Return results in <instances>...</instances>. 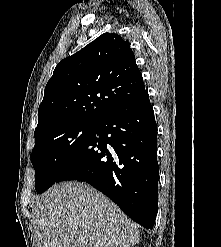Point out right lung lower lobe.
Listing matches in <instances>:
<instances>
[{"mask_svg": "<svg viewBox=\"0 0 221 247\" xmlns=\"http://www.w3.org/2000/svg\"><path fill=\"white\" fill-rule=\"evenodd\" d=\"M84 181L146 229L158 208L157 126L148 91L118 106L66 165L56 183Z\"/></svg>", "mask_w": 221, "mask_h": 247, "instance_id": "obj_1", "label": "right lung lower lobe"}]
</instances>
